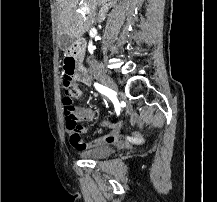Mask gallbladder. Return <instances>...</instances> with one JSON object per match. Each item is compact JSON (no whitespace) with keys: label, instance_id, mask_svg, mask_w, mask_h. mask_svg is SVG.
<instances>
[{"label":"gallbladder","instance_id":"obj_1","mask_svg":"<svg viewBox=\"0 0 217 202\" xmlns=\"http://www.w3.org/2000/svg\"><path fill=\"white\" fill-rule=\"evenodd\" d=\"M72 38L70 36H67V34H63V36H60L59 38V44L61 51H68V47L70 44H72Z\"/></svg>","mask_w":217,"mask_h":202}]
</instances>
